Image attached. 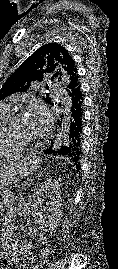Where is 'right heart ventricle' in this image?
<instances>
[{
    "instance_id": "e07e8e85",
    "label": "right heart ventricle",
    "mask_w": 118,
    "mask_h": 269,
    "mask_svg": "<svg viewBox=\"0 0 118 269\" xmlns=\"http://www.w3.org/2000/svg\"><path fill=\"white\" fill-rule=\"evenodd\" d=\"M10 115L11 110L0 104V157L14 155L21 151L20 146L8 142L4 135L3 127Z\"/></svg>"
}]
</instances>
